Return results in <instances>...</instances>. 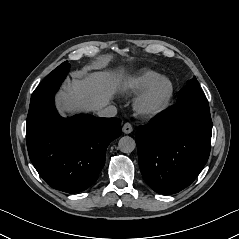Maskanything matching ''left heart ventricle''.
Masks as SVG:
<instances>
[{"mask_svg": "<svg viewBox=\"0 0 239 239\" xmlns=\"http://www.w3.org/2000/svg\"><path fill=\"white\" fill-rule=\"evenodd\" d=\"M164 92H165V84L163 83L159 84L153 93L152 96L153 100H158L164 94Z\"/></svg>", "mask_w": 239, "mask_h": 239, "instance_id": "obj_1", "label": "left heart ventricle"}]
</instances>
